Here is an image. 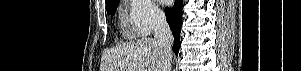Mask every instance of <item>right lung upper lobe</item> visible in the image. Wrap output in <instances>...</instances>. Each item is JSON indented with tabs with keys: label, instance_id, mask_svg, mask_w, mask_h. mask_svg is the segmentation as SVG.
I'll return each mask as SVG.
<instances>
[{
	"label": "right lung upper lobe",
	"instance_id": "1",
	"mask_svg": "<svg viewBox=\"0 0 301 71\" xmlns=\"http://www.w3.org/2000/svg\"><path fill=\"white\" fill-rule=\"evenodd\" d=\"M111 1H113V0H106V3H109V2H111Z\"/></svg>",
	"mask_w": 301,
	"mask_h": 71
}]
</instances>
